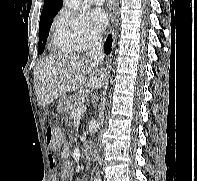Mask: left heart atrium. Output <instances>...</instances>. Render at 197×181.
<instances>
[{
    "label": "left heart atrium",
    "mask_w": 197,
    "mask_h": 181,
    "mask_svg": "<svg viewBox=\"0 0 197 181\" xmlns=\"http://www.w3.org/2000/svg\"><path fill=\"white\" fill-rule=\"evenodd\" d=\"M89 21L96 30H102L108 25V14L102 8H94L89 13Z\"/></svg>",
    "instance_id": "1"
}]
</instances>
